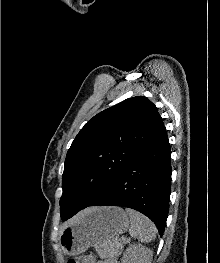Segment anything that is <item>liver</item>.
Here are the masks:
<instances>
[{"label":"liver","mask_w":220,"mask_h":263,"mask_svg":"<svg viewBox=\"0 0 220 263\" xmlns=\"http://www.w3.org/2000/svg\"><path fill=\"white\" fill-rule=\"evenodd\" d=\"M86 211V210H85ZM84 211V212H85ZM83 214V212L79 213L77 216H75L72 220H70L69 222H66L63 226V228L67 227L68 225H70L72 222H74L77 218H79L81 215Z\"/></svg>","instance_id":"6515ba94"}]
</instances>
